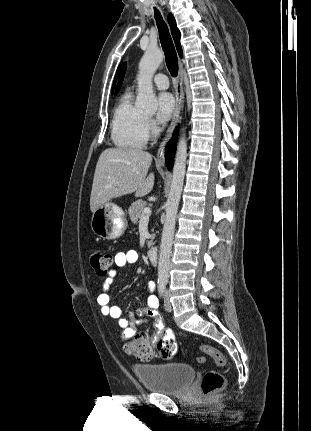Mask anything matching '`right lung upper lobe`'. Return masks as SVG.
I'll return each mask as SVG.
<instances>
[{"mask_svg": "<svg viewBox=\"0 0 311 431\" xmlns=\"http://www.w3.org/2000/svg\"><path fill=\"white\" fill-rule=\"evenodd\" d=\"M168 23L170 25L171 33H172V36H173V39H174V42H175L178 54H179L180 57H182V48H181V45H180V31H179V29L176 26V22H175L174 17L172 16V14L168 15ZM116 78H117V74L115 76L113 88H114V85H115V82H116ZM112 93H113V90H112Z\"/></svg>", "mask_w": 311, "mask_h": 431, "instance_id": "cb5924a9", "label": "right lung upper lobe"}]
</instances>
